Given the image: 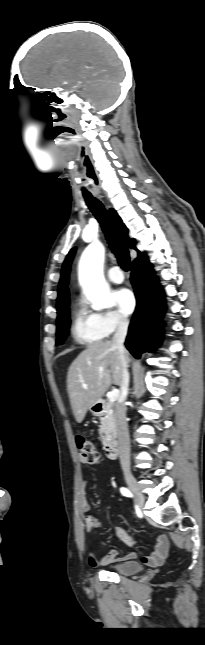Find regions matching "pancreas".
Wrapping results in <instances>:
<instances>
[{"instance_id": "cf45deb5", "label": "pancreas", "mask_w": 205, "mask_h": 645, "mask_svg": "<svg viewBox=\"0 0 205 645\" xmlns=\"http://www.w3.org/2000/svg\"><path fill=\"white\" fill-rule=\"evenodd\" d=\"M113 408H114V403L108 401L106 403L105 411L102 414V417L100 419L99 434H100V440L103 445L111 441L116 435Z\"/></svg>"}]
</instances>
